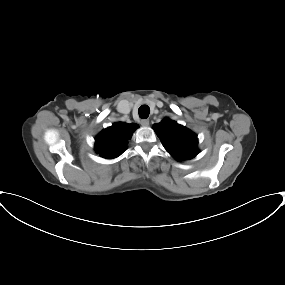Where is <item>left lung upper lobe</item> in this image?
Instances as JSON below:
<instances>
[{"label":"left lung upper lobe","mask_w":285,"mask_h":285,"mask_svg":"<svg viewBox=\"0 0 285 285\" xmlns=\"http://www.w3.org/2000/svg\"><path fill=\"white\" fill-rule=\"evenodd\" d=\"M153 129L176 160H189L199 153L197 135L177 122L166 118L154 124Z\"/></svg>","instance_id":"5c2ea615"}]
</instances>
